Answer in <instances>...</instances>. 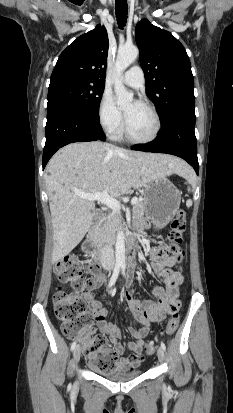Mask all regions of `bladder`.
Wrapping results in <instances>:
<instances>
[{"label":"bladder","mask_w":233,"mask_h":413,"mask_svg":"<svg viewBox=\"0 0 233 413\" xmlns=\"http://www.w3.org/2000/svg\"><path fill=\"white\" fill-rule=\"evenodd\" d=\"M142 375V371L139 369L129 370V371H118L115 373H106L102 376L110 381H127L131 379H135Z\"/></svg>","instance_id":"bladder-1"}]
</instances>
